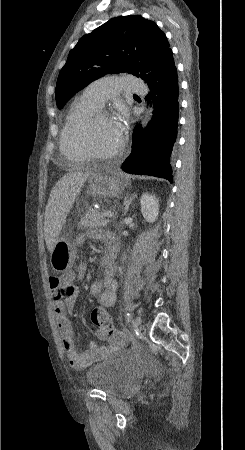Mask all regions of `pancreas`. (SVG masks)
<instances>
[{
	"instance_id": "cf45deb5",
	"label": "pancreas",
	"mask_w": 245,
	"mask_h": 450,
	"mask_svg": "<svg viewBox=\"0 0 245 450\" xmlns=\"http://www.w3.org/2000/svg\"><path fill=\"white\" fill-rule=\"evenodd\" d=\"M109 222L99 210L90 207L85 216L81 218L80 225L84 228H97L106 227Z\"/></svg>"
}]
</instances>
